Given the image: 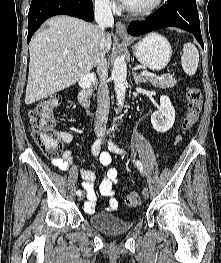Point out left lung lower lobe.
I'll return each instance as SVG.
<instances>
[{
  "mask_svg": "<svg viewBox=\"0 0 221 263\" xmlns=\"http://www.w3.org/2000/svg\"><path fill=\"white\" fill-rule=\"evenodd\" d=\"M170 26L191 32L204 48L196 0H166L151 17L130 23L128 33L139 36Z\"/></svg>",
  "mask_w": 221,
  "mask_h": 263,
  "instance_id": "obj_1",
  "label": "left lung lower lobe"
}]
</instances>
